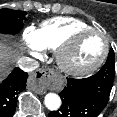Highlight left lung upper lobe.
Masks as SVG:
<instances>
[{
  "label": "left lung upper lobe",
  "mask_w": 117,
  "mask_h": 117,
  "mask_svg": "<svg viewBox=\"0 0 117 117\" xmlns=\"http://www.w3.org/2000/svg\"><path fill=\"white\" fill-rule=\"evenodd\" d=\"M102 68H103L104 71L108 70L114 75V72H115V57H114L113 49H110L107 61Z\"/></svg>",
  "instance_id": "5c2ea615"
}]
</instances>
